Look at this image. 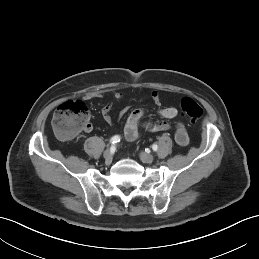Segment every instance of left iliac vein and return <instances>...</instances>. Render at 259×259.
<instances>
[{"mask_svg": "<svg viewBox=\"0 0 259 259\" xmlns=\"http://www.w3.org/2000/svg\"><path fill=\"white\" fill-rule=\"evenodd\" d=\"M139 157H140V160H141L143 163H152L153 160H154L153 155L148 154V153H145V152H141V153L139 154Z\"/></svg>", "mask_w": 259, "mask_h": 259, "instance_id": "left-iliac-vein-1", "label": "left iliac vein"}]
</instances>
